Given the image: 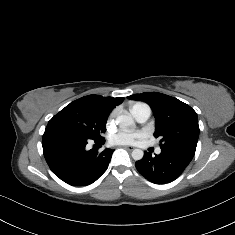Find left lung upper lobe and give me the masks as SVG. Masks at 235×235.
I'll list each match as a JSON object with an SVG mask.
<instances>
[{
    "instance_id": "1",
    "label": "left lung upper lobe",
    "mask_w": 235,
    "mask_h": 235,
    "mask_svg": "<svg viewBox=\"0 0 235 235\" xmlns=\"http://www.w3.org/2000/svg\"><path fill=\"white\" fill-rule=\"evenodd\" d=\"M127 98L150 105L156 118L154 136L161 138V148H177L195 154L199 125L197 113L189 105L158 92L134 94Z\"/></svg>"
}]
</instances>
